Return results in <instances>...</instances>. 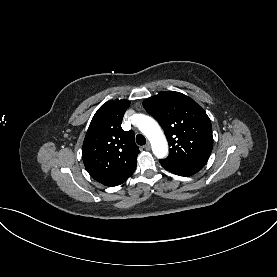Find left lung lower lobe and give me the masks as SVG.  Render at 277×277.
<instances>
[{"mask_svg": "<svg viewBox=\"0 0 277 277\" xmlns=\"http://www.w3.org/2000/svg\"><path fill=\"white\" fill-rule=\"evenodd\" d=\"M162 166L167 171H170L179 176H190L201 170L199 168H193V167H169V166H164V165H162Z\"/></svg>", "mask_w": 277, "mask_h": 277, "instance_id": "0a47b994", "label": "left lung lower lobe"}]
</instances>
